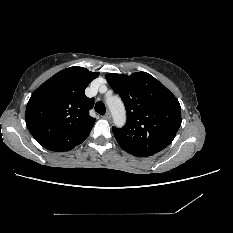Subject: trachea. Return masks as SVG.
<instances>
[{"mask_svg": "<svg viewBox=\"0 0 233 233\" xmlns=\"http://www.w3.org/2000/svg\"><path fill=\"white\" fill-rule=\"evenodd\" d=\"M95 111L100 115H104L106 113V107L103 102H97L95 105Z\"/></svg>", "mask_w": 233, "mask_h": 233, "instance_id": "trachea-1", "label": "trachea"}]
</instances>
